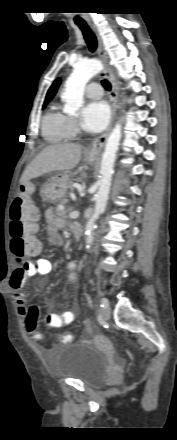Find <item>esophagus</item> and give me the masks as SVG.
Listing matches in <instances>:
<instances>
[{"label":"esophagus","instance_id":"1","mask_svg":"<svg viewBox=\"0 0 177 440\" xmlns=\"http://www.w3.org/2000/svg\"><path fill=\"white\" fill-rule=\"evenodd\" d=\"M90 27L93 30V32L95 33L96 37H97V41H98V55L101 59V61L103 62L104 65V70H103V74L105 75L106 78L109 79V81L111 82L112 85V90L109 94V98H110V103L112 106V119H111V123L108 126L106 132L100 136L99 138L95 139L92 144L88 147L87 149V155L90 157H94L97 156L100 151L102 150L104 143L106 141V138L111 130L112 124H113V120L116 114V110H117V94H118V88H117V84L115 81V77L109 67L108 64V56H107V52L105 50L104 47V43L102 40L101 35L99 34V31L97 29V27L90 23Z\"/></svg>","mask_w":177,"mask_h":440}]
</instances>
